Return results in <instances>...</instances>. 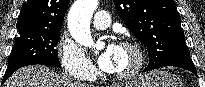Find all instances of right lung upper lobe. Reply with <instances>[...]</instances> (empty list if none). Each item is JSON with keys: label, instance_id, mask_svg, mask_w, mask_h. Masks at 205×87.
I'll return each mask as SVG.
<instances>
[{"label": "right lung upper lobe", "instance_id": "cb5924a9", "mask_svg": "<svg viewBox=\"0 0 205 87\" xmlns=\"http://www.w3.org/2000/svg\"><path fill=\"white\" fill-rule=\"evenodd\" d=\"M70 0H28L22 5L17 22L19 32L60 30Z\"/></svg>", "mask_w": 205, "mask_h": 87}]
</instances>
